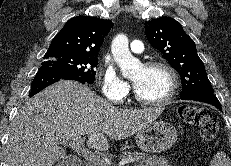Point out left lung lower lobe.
<instances>
[{
	"label": "left lung lower lobe",
	"instance_id": "1",
	"mask_svg": "<svg viewBox=\"0 0 231 166\" xmlns=\"http://www.w3.org/2000/svg\"><path fill=\"white\" fill-rule=\"evenodd\" d=\"M181 99L206 102V103L214 105L216 108H218L220 111H222L221 104H220V102L217 99L215 94H210V95H189V96H186V97H182Z\"/></svg>",
	"mask_w": 231,
	"mask_h": 166
}]
</instances>
